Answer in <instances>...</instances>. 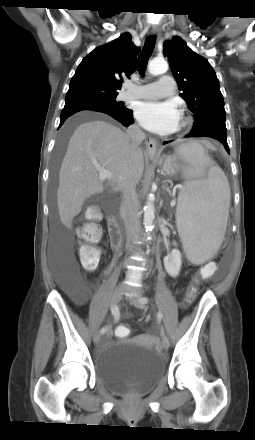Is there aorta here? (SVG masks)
<instances>
[{
	"instance_id": "obj_1",
	"label": "aorta",
	"mask_w": 255,
	"mask_h": 440,
	"mask_svg": "<svg viewBox=\"0 0 255 440\" xmlns=\"http://www.w3.org/2000/svg\"><path fill=\"white\" fill-rule=\"evenodd\" d=\"M149 73L152 75H160L168 70V63L164 59H153L149 63ZM154 218H155V206H154V196H150L146 202L144 209V228L146 234L149 236L154 228Z\"/></svg>"
}]
</instances>
